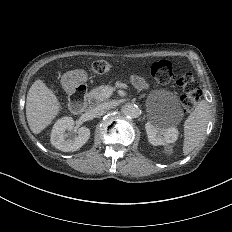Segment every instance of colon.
Masks as SVG:
<instances>
[{
  "label": "colon",
  "mask_w": 232,
  "mask_h": 232,
  "mask_svg": "<svg viewBox=\"0 0 232 232\" xmlns=\"http://www.w3.org/2000/svg\"><path fill=\"white\" fill-rule=\"evenodd\" d=\"M91 73H111L112 69L108 61H92L89 65ZM156 82H168L184 86L181 101L182 111H196L201 98V88L198 80L190 73L163 69L156 77ZM42 89H53V84H42Z\"/></svg>",
  "instance_id": "1"
}]
</instances>
